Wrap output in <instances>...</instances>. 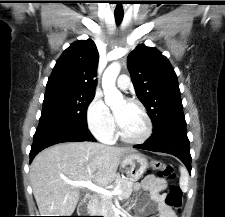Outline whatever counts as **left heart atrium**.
Wrapping results in <instances>:
<instances>
[{"mask_svg": "<svg viewBox=\"0 0 225 217\" xmlns=\"http://www.w3.org/2000/svg\"><path fill=\"white\" fill-rule=\"evenodd\" d=\"M117 121H120L121 116L120 115H116Z\"/></svg>", "mask_w": 225, "mask_h": 217, "instance_id": "obj_1", "label": "left heart atrium"}]
</instances>
